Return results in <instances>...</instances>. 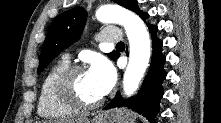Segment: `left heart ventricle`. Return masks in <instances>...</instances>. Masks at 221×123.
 I'll list each match as a JSON object with an SVG mask.
<instances>
[{
    "mask_svg": "<svg viewBox=\"0 0 221 123\" xmlns=\"http://www.w3.org/2000/svg\"><path fill=\"white\" fill-rule=\"evenodd\" d=\"M74 88L78 96L85 102L91 103L102 98L87 71L75 76Z\"/></svg>",
    "mask_w": 221,
    "mask_h": 123,
    "instance_id": "1",
    "label": "left heart ventricle"
}]
</instances>
